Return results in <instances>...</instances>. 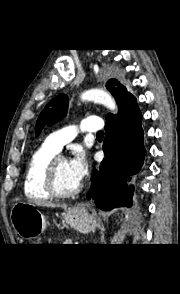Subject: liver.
Here are the masks:
<instances>
[{
    "mask_svg": "<svg viewBox=\"0 0 180 294\" xmlns=\"http://www.w3.org/2000/svg\"><path fill=\"white\" fill-rule=\"evenodd\" d=\"M36 204L40 206H44V207H51V208H55V207L66 208L67 207L65 204L61 205L58 203L37 202Z\"/></svg>",
    "mask_w": 180,
    "mask_h": 294,
    "instance_id": "6515ba94",
    "label": "liver"
}]
</instances>
